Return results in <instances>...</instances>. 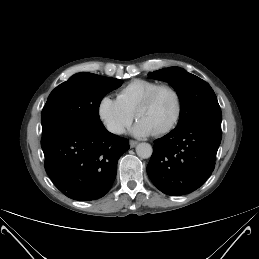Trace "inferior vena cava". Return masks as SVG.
I'll use <instances>...</instances> for the list:
<instances>
[{
  "label": "inferior vena cava",
  "instance_id": "obj_1",
  "mask_svg": "<svg viewBox=\"0 0 259 259\" xmlns=\"http://www.w3.org/2000/svg\"><path fill=\"white\" fill-rule=\"evenodd\" d=\"M108 129L110 132L114 134H123L125 132V129L119 125L110 126Z\"/></svg>",
  "mask_w": 259,
  "mask_h": 259
}]
</instances>
